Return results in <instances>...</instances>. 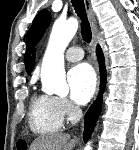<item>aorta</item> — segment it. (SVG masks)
Masks as SVG:
<instances>
[{
  "instance_id": "aorta-1",
  "label": "aorta",
  "mask_w": 139,
  "mask_h": 150,
  "mask_svg": "<svg viewBox=\"0 0 139 150\" xmlns=\"http://www.w3.org/2000/svg\"><path fill=\"white\" fill-rule=\"evenodd\" d=\"M77 29L78 20L74 17L65 21L57 20L53 25L41 67L42 89L48 94L65 96L69 92L65 79L64 52ZM84 150H92L91 142Z\"/></svg>"
}]
</instances>
